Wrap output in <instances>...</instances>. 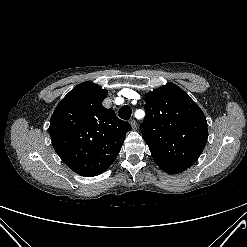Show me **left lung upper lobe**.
Listing matches in <instances>:
<instances>
[{
    "instance_id": "obj_1",
    "label": "left lung upper lobe",
    "mask_w": 247,
    "mask_h": 247,
    "mask_svg": "<svg viewBox=\"0 0 247 247\" xmlns=\"http://www.w3.org/2000/svg\"><path fill=\"white\" fill-rule=\"evenodd\" d=\"M140 126L154 160L189 168L201 155L207 138L206 117L180 87L167 83L145 96Z\"/></svg>"
}]
</instances>
